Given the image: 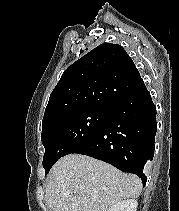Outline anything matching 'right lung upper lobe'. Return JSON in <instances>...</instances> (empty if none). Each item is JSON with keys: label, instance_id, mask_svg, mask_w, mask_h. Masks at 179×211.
Segmentation results:
<instances>
[{"label": "right lung upper lobe", "instance_id": "obj_1", "mask_svg": "<svg viewBox=\"0 0 179 211\" xmlns=\"http://www.w3.org/2000/svg\"><path fill=\"white\" fill-rule=\"evenodd\" d=\"M142 83L135 64L122 46L101 44L64 71L50 95L43 127L81 110L112 109Z\"/></svg>", "mask_w": 179, "mask_h": 211}]
</instances>
